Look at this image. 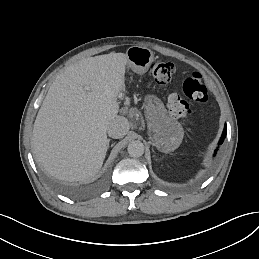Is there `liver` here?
<instances>
[{"label":"liver","mask_w":259,"mask_h":259,"mask_svg":"<svg viewBox=\"0 0 259 259\" xmlns=\"http://www.w3.org/2000/svg\"><path fill=\"white\" fill-rule=\"evenodd\" d=\"M126 64L125 54L111 53L80 60L56 76L32 137L33 154L50 174L75 181L100 170L107 152V127L119 111L117 95Z\"/></svg>","instance_id":"obj_1"}]
</instances>
